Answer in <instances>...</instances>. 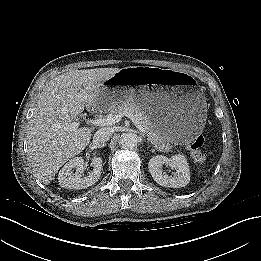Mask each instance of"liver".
Masks as SVG:
<instances>
[{"label": "liver", "mask_w": 261, "mask_h": 261, "mask_svg": "<svg viewBox=\"0 0 261 261\" xmlns=\"http://www.w3.org/2000/svg\"><path fill=\"white\" fill-rule=\"evenodd\" d=\"M119 68L70 70L50 80L41 92L28 125V154L37 178L48 185L70 158L82 152L91 128L69 130L84 107L98 109L104 82Z\"/></svg>", "instance_id": "6515ba94"}]
</instances>
